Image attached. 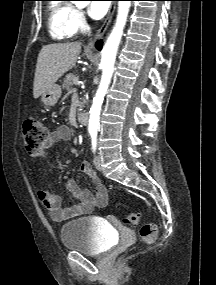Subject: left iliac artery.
I'll use <instances>...</instances> for the list:
<instances>
[{
    "label": "left iliac artery",
    "instance_id": "obj_1",
    "mask_svg": "<svg viewBox=\"0 0 216 285\" xmlns=\"http://www.w3.org/2000/svg\"><path fill=\"white\" fill-rule=\"evenodd\" d=\"M91 138H92V149H93V152H95L96 145H97V135L95 133H92Z\"/></svg>",
    "mask_w": 216,
    "mask_h": 285
}]
</instances>
